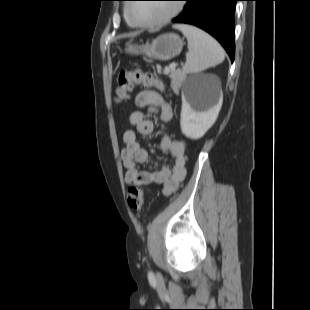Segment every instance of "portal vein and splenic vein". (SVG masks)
I'll return each mask as SVG.
<instances>
[{
  "mask_svg": "<svg viewBox=\"0 0 310 310\" xmlns=\"http://www.w3.org/2000/svg\"><path fill=\"white\" fill-rule=\"evenodd\" d=\"M176 66V64H170L169 67L166 68V71H174Z\"/></svg>",
  "mask_w": 310,
  "mask_h": 310,
  "instance_id": "1",
  "label": "portal vein and splenic vein"
}]
</instances>
